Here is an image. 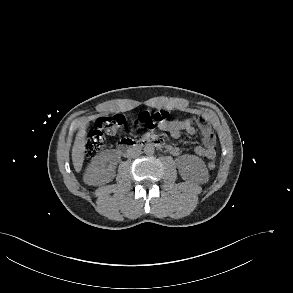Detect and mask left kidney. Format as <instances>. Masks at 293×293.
Returning <instances> with one entry per match:
<instances>
[{"mask_svg":"<svg viewBox=\"0 0 293 293\" xmlns=\"http://www.w3.org/2000/svg\"><path fill=\"white\" fill-rule=\"evenodd\" d=\"M177 166L184 180L204 181L208 178V170L204 161L195 155H182L177 159Z\"/></svg>","mask_w":293,"mask_h":293,"instance_id":"5707ae66","label":"left kidney"}]
</instances>
